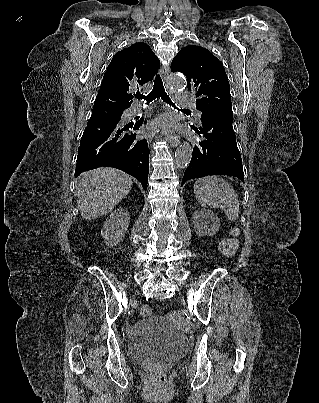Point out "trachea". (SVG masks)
Wrapping results in <instances>:
<instances>
[{"instance_id":"obj_1","label":"trachea","mask_w":319,"mask_h":403,"mask_svg":"<svg viewBox=\"0 0 319 403\" xmlns=\"http://www.w3.org/2000/svg\"><path fill=\"white\" fill-rule=\"evenodd\" d=\"M135 96H136V98H138V99H144V100H146L147 103H149V102L155 100V99L158 98V97H161V99H162L164 102H166V103H168L169 105H172L174 108H176L175 104H173V102L171 101L169 95H167V93L165 92L162 79L160 78L159 75L156 76V78H155V80H154L153 89H152V91H151L147 96H144V95H142V94H140V93H137Z\"/></svg>"}]
</instances>
